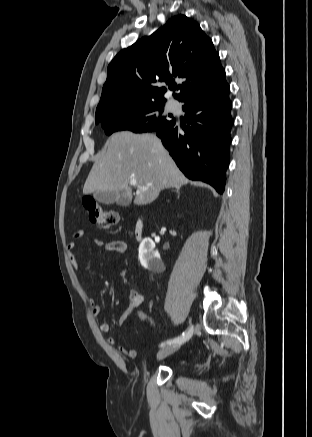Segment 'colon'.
Segmentation results:
<instances>
[{
	"mask_svg": "<svg viewBox=\"0 0 312 437\" xmlns=\"http://www.w3.org/2000/svg\"><path fill=\"white\" fill-rule=\"evenodd\" d=\"M82 205L88 214L89 220L102 228L111 227L118 222V215L116 212L104 208L92 197H84L82 199ZM138 317L141 320L150 323L152 326L155 325L154 319L143 311L138 312Z\"/></svg>",
	"mask_w": 312,
	"mask_h": 437,
	"instance_id": "5ec220e1",
	"label": "colon"
}]
</instances>
